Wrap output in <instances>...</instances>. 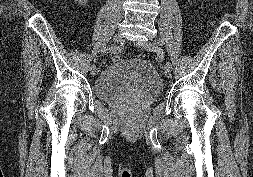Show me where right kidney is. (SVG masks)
Returning a JSON list of instances; mask_svg holds the SVG:
<instances>
[{
  "label": "right kidney",
  "mask_w": 253,
  "mask_h": 177,
  "mask_svg": "<svg viewBox=\"0 0 253 177\" xmlns=\"http://www.w3.org/2000/svg\"><path fill=\"white\" fill-rule=\"evenodd\" d=\"M76 2H78L80 5H85L87 0H75Z\"/></svg>",
  "instance_id": "ca27d5eb"
}]
</instances>
